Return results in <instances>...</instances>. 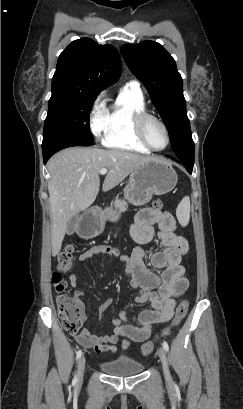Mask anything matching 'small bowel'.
<instances>
[{
	"label": "small bowel",
	"mask_w": 243,
	"mask_h": 409,
	"mask_svg": "<svg viewBox=\"0 0 243 409\" xmlns=\"http://www.w3.org/2000/svg\"><path fill=\"white\" fill-rule=\"evenodd\" d=\"M155 226L158 230H155ZM177 224L173 215L168 211L146 208L141 210L130 229L132 239L139 245L149 243L154 236L158 238L162 248L150 250L151 266L163 270L159 276L146 267L144 257L147 252L142 247H136L130 255H120L119 251L110 245L98 244L88 248L80 256L81 262L88 261L98 254L117 257L123 262L125 272L131 277L130 286L137 289L139 294L135 297L137 304L149 303L151 309L141 311L136 319L137 324H132L126 310L119 312L111 322L113 330L103 335H97L88 329L76 335L77 342L90 348L96 353L108 355L117 354L128 348L130 341L143 342L152 332V327L157 323H165L171 319L175 308V298L183 295L189 287V279L181 265L182 257L189 250L188 242L176 234ZM71 287L75 288L73 298L79 302L83 311V291L77 289L78 279L75 274L69 277ZM108 298L106 305L111 304ZM86 318V315H85ZM125 338L120 348L117 346L119 338Z\"/></svg>",
	"instance_id": "c3829d8e"
}]
</instances>
